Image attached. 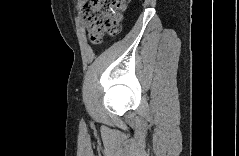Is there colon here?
Wrapping results in <instances>:
<instances>
[{
  "mask_svg": "<svg viewBox=\"0 0 239 156\" xmlns=\"http://www.w3.org/2000/svg\"><path fill=\"white\" fill-rule=\"evenodd\" d=\"M126 4L122 0H91L80 8L90 41L100 44L105 35H116L121 29L122 13Z\"/></svg>",
  "mask_w": 239,
  "mask_h": 156,
  "instance_id": "1",
  "label": "colon"
}]
</instances>
